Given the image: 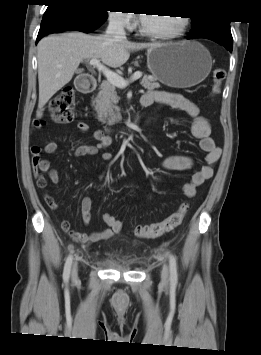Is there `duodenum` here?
Returning <instances> with one entry per match:
<instances>
[{
  "label": "duodenum",
  "mask_w": 261,
  "mask_h": 355,
  "mask_svg": "<svg viewBox=\"0 0 261 355\" xmlns=\"http://www.w3.org/2000/svg\"><path fill=\"white\" fill-rule=\"evenodd\" d=\"M97 86V81L94 77L82 75L76 82V88L81 93H89Z\"/></svg>",
  "instance_id": "duodenum-1"
}]
</instances>
